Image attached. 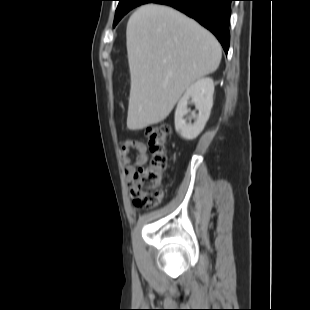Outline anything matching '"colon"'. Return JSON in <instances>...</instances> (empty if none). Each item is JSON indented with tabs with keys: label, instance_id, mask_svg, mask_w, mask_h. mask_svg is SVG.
<instances>
[{
	"label": "colon",
	"instance_id": "colon-1",
	"mask_svg": "<svg viewBox=\"0 0 310 310\" xmlns=\"http://www.w3.org/2000/svg\"><path fill=\"white\" fill-rule=\"evenodd\" d=\"M171 134L168 125H155L147 129L146 139L151 157L148 163L134 173L130 192L134 205L151 209L158 206L164 197L163 181L168 166L165 152L166 142Z\"/></svg>",
	"mask_w": 310,
	"mask_h": 310
}]
</instances>
